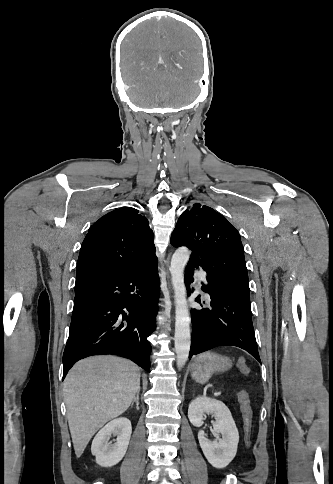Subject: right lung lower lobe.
I'll return each instance as SVG.
<instances>
[{
    "mask_svg": "<svg viewBox=\"0 0 333 484\" xmlns=\"http://www.w3.org/2000/svg\"><path fill=\"white\" fill-rule=\"evenodd\" d=\"M158 297L157 261L127 273L76 277L63 379L78 360L101 354L121 355L149 371L147 337L156 328Z\"/></svg>",
    "mask_w": 333,
    "mask_h": 484,
    "instance_id": "obj_1",
    "label": "right lung lower lobe"
}]
</instances>
